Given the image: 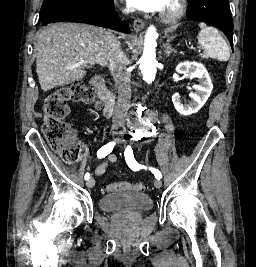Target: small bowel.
Wrapping results in <instances>:
<instances>
[{
	"instance_id": "1",
	"label": "small bowel",
	"mask_w": 256,
	"mask_h": 267,
	"mask_svg": "<svg viewBox=\"0 0 256 267\" xmlns=\"http://www.w3.org/2000/svg\"><path fill=\"white\" fill-rule=\"evenodd\" d=\"M117 161V157L115 154H109L106 156V158L103 160V162L101 164H99L94 173L96 176H102L106 173L108 166L110 164H113Z\"/></svg>"
}]
</instances>
